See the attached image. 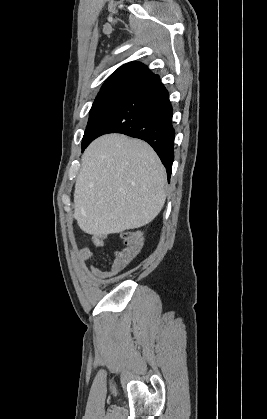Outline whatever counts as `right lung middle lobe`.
Instances as JSON below:
<instances>
[{
  "label": "right lung middle lobe",
  "instance_id": "1",
  "mask_svg": "<svg viewBox=\"0 0 267 419\" xmlns=\"http://www.w3.org/2000/svg\"><path fill=\"white\" fill-rule=\"evenodd\" d=\"M129 92H107L97 95L89 115V121L82 140V151L89 145L94 131L106 115L119 104Z\"/></svg>",
  "mask_w": 267,
  "mask_h": 419
}]
</instances>
